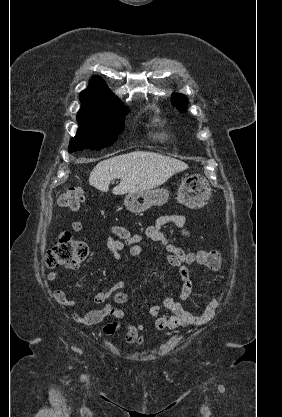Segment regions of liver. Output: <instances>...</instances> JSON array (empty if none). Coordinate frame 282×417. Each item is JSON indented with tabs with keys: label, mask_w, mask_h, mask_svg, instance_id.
Instances as JSON below:
<instances>
[{
	"label": "liver",
	"mask_w": 282,
	"mask_h": 417,
	"mask_svg": "<svg viewBox=\"0 0 282 417\" xmlns=\"http://www.w3.org/2000/svg\"><path fill=\"white\" fill-rule=\"evenodd\" d=\"M189 168L186 162L165 156L160 152L134 150L127 154L100 160L90 172L89 182L98 190L107 192L113 178H121L113 194H126L136 190H149L164 184L176 172Z\"/></svg>",
	"instance_id": "1"
}]
</instances>
